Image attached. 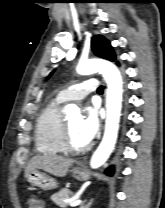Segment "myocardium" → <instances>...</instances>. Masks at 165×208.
<instances>
[{
	"label": "myocardium",
	"mask_w": 165,
	"mask_h": 208,
	"mask_svg": "<svg viewBox=\"0 0 165 208\" xmlns=\"http://www.w3.org/2000/svg\"><path fill=\"white\" fill-rule=\"evenodd\" d=\"M63 129H62V147L65 152L68 153H83L90 148L89 144L84 146H76L73 144L71 139L70 127L68 125L67 120H63Z\"/></svg>",
	"instance_id": "1"
}]
</instances>
